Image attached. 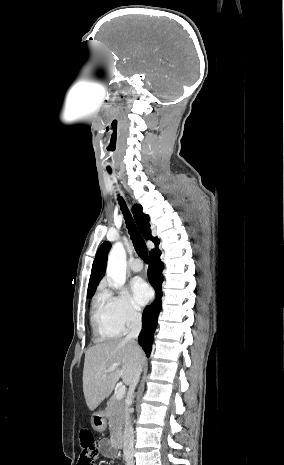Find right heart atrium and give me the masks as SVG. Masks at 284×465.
Returning <instances> with one entry per match:
<instances>
[{
	"mask_svg": "<svg viewBox=\"0 0 284 465\" xmlns=\"http://www.w3.org/2000/svg\"><path fill=\"white\" fill-rule=\"evenodd\" d=\"M97 299L105 303L117 325L124 331L130 330L140 322L141 311L129 302L124 292L102 287Z\"/></svg>",
	"mask_w": 284,
	"mask_h": 465,
	"instance_id": "obj_1",
	"label": "right heart atrium"
}]
</instances>
